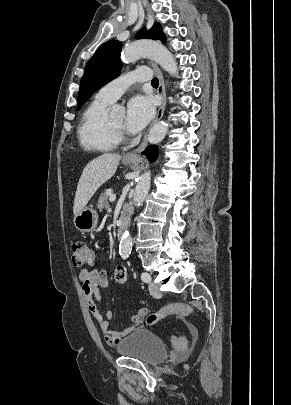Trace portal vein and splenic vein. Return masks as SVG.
Listing matches in <instances>:
<instances>
[{
	"label": "portal vein and splenic vein",
	"instance_id": "1",
	"mask_svg": "<svg viewBox=\"0 0 291 405\" xmlns=\"http://www.w3.org/2000/svg\"><path fill=\"white\" fill-rule=\"evenodd\" d=\"M109 200L111 202H114L116 200V195H114V194L110 195Z\"/></svg>",
	"mask_w": 291,
	"mask_h": 405
}]
</instances>
